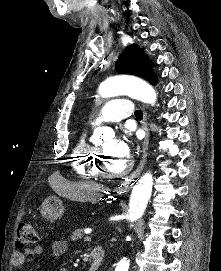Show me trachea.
<instances>
[{
  "label": "trachea",
  "mask_w": 221,
  "mask_h": 271,
  "mask_svg": "<svg viewBox=\"0 0 221 271\" xmlns=\"http://www.w3.org/2000/svg\"><path fill=\"white\" fill-rule=\"evenodd\" d=\"M134 115H135V117H136L138 120H141L142 117H143V113H142L141 110H136V111L134 112Z\"/></svg>",
  "instance_id": "trachea-1"
}]
</instances>
